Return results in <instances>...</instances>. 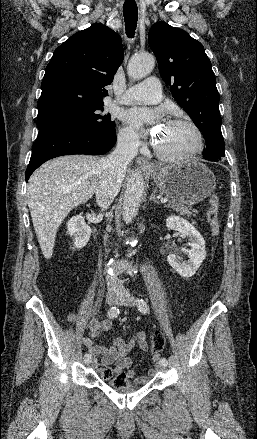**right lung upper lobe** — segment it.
I'll return each mask as SVG.
<instances>
[{"mask_svg":"<svg viewBox=\"0 0 257 439\" xmlns=\"http://www.w3.org/2000/svg\"><path fill=\"white\" fill-rule=\"evenodd\" d=\"M120 36L100 23L79 31L59 46L46 67L38 102V119L104 104L121 65Z\"/></svg>","mask_w":257,"mask_h":439,"instance_id":"right-lung-upper-lobe-1","label":"right lung upper lobe"}]
</instances>
